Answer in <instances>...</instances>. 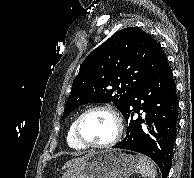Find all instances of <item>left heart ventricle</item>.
<instances>
[{"label": "left heart ventricle", "mask_w": 194, "mask_h": 178, "mask_svg": "<svg viewBox=\"0 0 194 178\" xmlns=\"http://www.w3.org/2000/svg\"><path fill=\"white\" fill-rule=\"evenodd\" d=\"M116 131L113 117L105 111H92L80 124L81 136L90 143L102 144L112 139Z\"/></svg>", "instance_id": "obj_1"}]
</instances>
